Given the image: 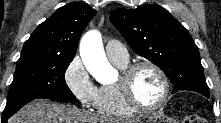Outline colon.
Returning a JSON list of instances; mask_svg holds the SVG:
<instances>
[{
    "label": "colon",
    "mask_w": 221,
    "mask_h": 123,
    "mask_svg": "<svg viewBox=\"0 0 221 123\" xmlns=\"http://www.w3.org/2000/svg\"><path fill=\"white\" fill-rule=\"evenodd\" d=\"M183 123H205L206 120L196 113H188L183 118Z\"/></svg>",
    "instance_id": "5ec220e1"
}]
</instances>
